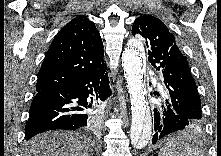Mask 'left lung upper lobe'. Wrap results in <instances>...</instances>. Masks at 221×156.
Returning <instances> with one entry per match:
<instances>
[{"instance_id":"obj_1","label":"left lung upper lobe","mask_w":221,"mask_h":156,"mask_svg":"<svg viewBox=\"0 0 221 156\" xmlns=\"http://www.w3.org/2000/svg\"><path fill=\"white\" fill-rule=\"evenodd\" d=\"M140 34L148 47V60L163 77L167 98L177 111L202 122L201 99L189 70L186 57L180 52L175 37L166 25L152 15L135 19L132 35Z\"/></svg>"}]
</instances>
